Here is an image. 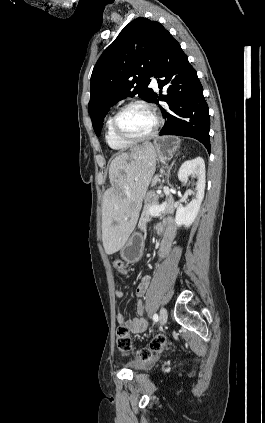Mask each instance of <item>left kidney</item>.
Instances as JSON below:
<instances>
[{
  "instance_id": "left-kidney-1",
  "label": "left kidney",
  "mask_w": 265,
  "mask_h": 423,
  "mask_svg": "<svg viewBox=\"0 0 265 423\" xmlns=\"http://www.w3.org/2000/svg\"><path fill=\"white\" fill-rule=\"evenodd\" d=\"M197 178L195 198L186 206H179L176 211L175 223L178 227H190L197 217L205 190V163L201 157L185 161L179 171L178 179L183 185L188 183V178Z\"/></svg>"
}]
</instances>
